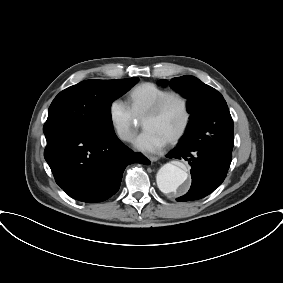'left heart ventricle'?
Listing matches in <instances>:
<instances>
[{"label":"left heart ventricle","mask_w":283,"mask_h":283,"mask_svg":"<svg viewBox=\"0 0 283 283\" xmlns=\"http://www.w3.org/2000/svg\"><path fill=\"white\" fill-rule=\"evenodd\" d=\"M183 120L182 103L178 99H171L157 116L144 120L143 125L145 130H153L168 140L177 133Z\"/></svg>","instance_id":"obj_1"}]
</instances>
